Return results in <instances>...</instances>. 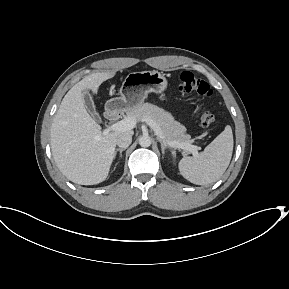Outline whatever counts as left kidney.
<instances>
[{"instance_id":"5707ae66","label":"left kidney","mask_w":289,"mask_h":289,"mask_svg":"<svg viewBox=\"0 0 289 289\" xmlns=\"http://www.w3.org/2000/svg\"><path fill=\"white\" fill-rule=\"evenodd\" d=\"M173 156L175 155V152H172Z\"/></svg>"}]
</instances>
